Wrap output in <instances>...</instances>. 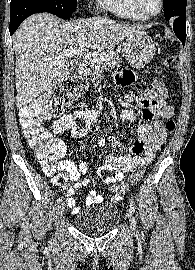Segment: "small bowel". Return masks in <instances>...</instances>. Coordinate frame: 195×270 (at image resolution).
Here are the masks:
<instances>
[{"instance_id":"1","label":"small bowel","mask_w":195,"mask_h":270,"mask_svg":"<svg viewBox=\"0 0 195 270\" xmlns=\"http://www.w3.org/2000/svg\"><path fill=\"white\" fill-rule=\"evenodd\" d=\"M115 81L119 86H128L135 81V74L130 70H123L115 75ZM152 90H144L135 94L123 97L124 102H132L137 104L140 111H132L124 109L120 111L121 116L128 120H133L137 124L136 137L131 140L128 145V152H124L122 144L116 137L109 133L98 141L99 146H104L107 141H113V152L110 153L104 161L103 169L113 172V175L104 177L102 170L98 172L99 178L111 186L114 194L112 201L118 202L123 196L118 192L119 185L117 183L124 179L125 173H133L138 168L146 166L154 159L156 151L160 150L165 138L162 137L164 124L156 119V116L162 119H169L174 114L172 106L166 102L158 103L151 98ZM99 119V113L88 108L75 109L57 120L51 126V133L54 135H62L70 133L81 145V151L86 149L85 138L92 126ZM83 121V126L78 124ZM60 168L66 171L70 179L74 182L66 191L67 206L71 208L73 214H78L81 208L76 205L72 195L87 185L90 180H82V176L86 174L88 167L85 161L76 164L73 161L65 160L60 164ZM104 198L95 190H91L85 200L86 205L97 204L103 202Z\"/></svg>"}]
</instances>
